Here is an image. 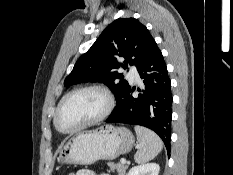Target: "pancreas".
Returning a JSON list of instances; mask_svg holds the SVG:
<instances>
[{
    "mask_svg": "<svg viewBox=\"0 0 233 175\" xmlns=\"http://www.w3.org/2000/svg\"><path fill=\"white\" fill-rule=\"evenodd\" d=\"M107 165L109 166L111 171L117 170L118 175H125V172L127 170V166L123 164H114L113 162H108Z\"/></svg>",
    "mask_w": 233,
    "mask_h": 175,
    "instance_id": "pancreas-1",
    "label": "pancreas"
}]
</instances>
